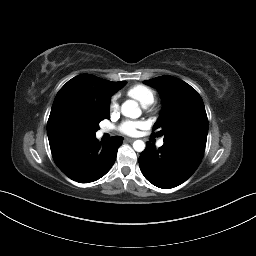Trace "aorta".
Listing matches in <instances>:
<instances>
[{
  "label": "aorta",
  "instance_id": "1",
  "mask_svg": "<svg viewBox=\"0 0 256 256\" xmlns=\"http://www.w3.org/2000/svg\"><path fill=\"white\" fill-rule=\"evenodd\" d=\"M121 113L125 117L138 118L141 115V109L138 103L134 100H127L121 106ZM133 148L137 152H142L145 149V143L142 140H136L133 142Z\"/></svg>",
  "mask_w": 256,
  "mask_h": 256
}]
</instances>
